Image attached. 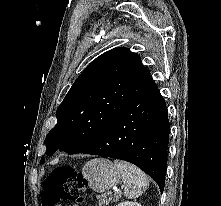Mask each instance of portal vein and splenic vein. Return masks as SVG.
I'll return each mask as SVG.
<instances>
[{
    "label": "portal vein and splenic vein",
    "instance_id": "1",
    "mask_svg": "<svg viewBox=\"0 0 221 206\" xmlns=\"http://www.w3.org/2000/svg\"><path fill=\"white\" fill-rule=\"evenodd\" d=\"M108 195H111V192H110V191L108 192Z\"/></svg>",
    "mask_w": 221,
    "mask_h": 206
}]
</instances>
